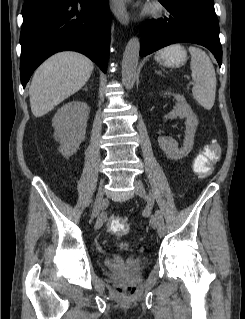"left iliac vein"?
Here are the masks:
<instances>
[{
    "instance_id": "left-iliac-vein-1",
    "label": "left iliac vein",
    "mask_w": 245,
    "mask_h": 319,
    "mask_svg": "<svg viewBox=\"0 0 245 319\" xmlns=\"http://www.w3.org/2000/svg\"><path fill=\"white\" fill-rule=\"evenodd\" d=\"M135 187H136V193L139 195L141 198L148 200V194L147 191L144 187V184L140 180L135 181ZM150 224L153 228H157L158 230V224H157V218L154 215H151L150 217ZM159 236H163L164 233L158 231Z\"/></svg>"
}]
</instances>
